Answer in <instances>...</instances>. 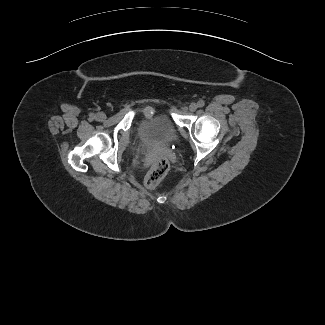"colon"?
Returning <instances> with one entry per match:
<instances>
[{"label":"colon","mask_w":325,"mask_h":325,"mask_svg":"<svg viewBox=\"0 0 325 325\" xmlns=\"http://www.w3.org/2000/svg\"><path fill=\"white\" fill-rule=\"evenodd\" d=\"M169 171V162L159 157L145 177V186L149 189L155 188Z\"/></svg>","instance_id":"5ec220e1"}]
</instances>
